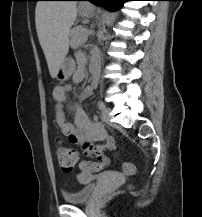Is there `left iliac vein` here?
Returning <instances> with one entry per match:
<instances>
[{
	"label": "left iliac vein",
	"instance_id": "1",
	"mask_svg": "<svg viewBox=\"0 0 202 217\" xmlns=\"http://www.w3.org/2000/svg\"><path fill=\"white\" fill-rule=\"evenodd\" d=\"M110 108H105L103 111H102V120L105 122V123H110Z\"/></svg>",
	"mask_w": 202,
	"mask_h": 217
}]
</instances>
